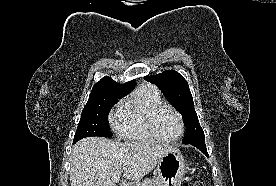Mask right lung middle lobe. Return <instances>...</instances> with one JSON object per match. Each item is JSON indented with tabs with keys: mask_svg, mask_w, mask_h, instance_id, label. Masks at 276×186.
Segmentation results:
<instances>
[{
	"mask_svg": "<svg viewBox=\"0 0 276 186\" xmlns=\"http://www.w3.org/2000/svg\"><path fill=\"white\" fill-rule=\"evenodd\" d=\"M123 96L125 94L91 93L82 111L74 136V143L90 136L112 137L113 134L108 124V114L114 103Z\"/></svg>",
	"mask_w": 276,
	"mask_h": 186,
	"instance_id": "1",
	"label": "right lung middle lobe"
}]
</instances>
